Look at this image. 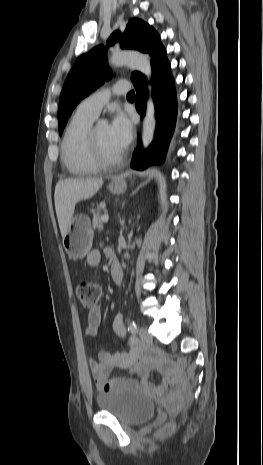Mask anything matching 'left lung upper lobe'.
Listing matches in <instances>:
<instances>
[{
    "instance_id": "5c2ea615",
    "label": "left lung upper lobe",
    "mask_w": 263,
    "mask_h": 465,
    "mask_svg": "<svg viewBox=\"0 0 263 465\" xmlns=\"http://www.w3.org/2000/svg\"><path fill=\"white\" fill-rule=\"evenodd\" d=\"M121 37L119 31L114 32L107 41V47L113 45ZM163 46L158 33L144 21L133 18L126 25L122 35L121 48L134 49L152 55ZM139 72H134L131 80ZM106 49L98 46L81 55L69 72L60 94L58 108V129L61 135L69 116L76 105L100 84L109 79Z\"/></svg>"
}]
</instances>
